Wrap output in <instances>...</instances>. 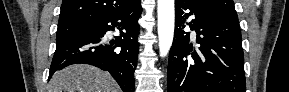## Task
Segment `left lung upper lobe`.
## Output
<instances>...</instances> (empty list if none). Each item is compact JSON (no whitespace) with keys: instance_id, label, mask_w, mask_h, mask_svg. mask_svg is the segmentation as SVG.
Listing matches in <instances>:
<instances>
[{"instance_id":"5c2ea615","label":"left lung upper lobe","mask_w":289,"mask_h":92,"mask_svg":"<svg viewBox=\"0 0 289 92\" xmlns=\"http://www.w3.org/2000/svg\"><path fill=\"white\" fill-rule=\"evenodd\" d=\"M216 11L238 20L233 0H197Z\"/></svg>"}]
</instances>
